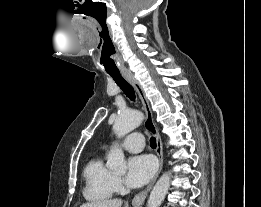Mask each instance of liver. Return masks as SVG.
<instances>
[{
    "mask_svg": "<svg viewBox=\"0 0 261 207\" xmlns=\"http://www.w3.org/2000/svg\"><path fill=\"white\" fill-rule=\"evenodd\" d=\"M122 203L121 199L99 200L87 202L80 207H121Z\"/></svg>",
    "mask_w": 261,
    "mask_h": 207,
    "instance_id": "obj_1",
    "label": "liver"
}]
</instances>
